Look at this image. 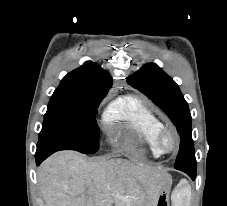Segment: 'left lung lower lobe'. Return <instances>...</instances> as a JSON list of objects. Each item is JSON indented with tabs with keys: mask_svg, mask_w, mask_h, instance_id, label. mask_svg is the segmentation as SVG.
Masks as SVG:
<instances>
[{
	"mask_svg": "<svg viewBox=\"0 0 227 206\" xmlns=\"http://www.w3.org/2000/svg\"><path fill=\"white\" fill-rule=\"evenodd\" d=\"M178 170H181L185 173H187L192 180H194L196 178V168H180Z\"/></svg>",
	"mask_w": 227,
	"mask_h": 206,
	"instance_id": "1",
	"label": "left lung lower lobe"
}]
</instances>
